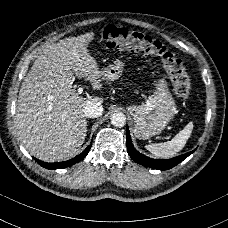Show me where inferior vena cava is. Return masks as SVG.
<instances>
[{"label": "inferior vena cava", "mask_w": 228, "mask_h": 228, "mask_svg": "<svg viewBox=\"0 0 228 228\" xmlns=\"http://www.w3.org/2000/svg\"><path fill=\"white\" fill-rule=\"evenodd\" d=\"M84 113L89 118H96L103 113V107L96 101L88 100L84 106Z\"/></svg>", "instance_id": "obj_1"}]
</instances>
